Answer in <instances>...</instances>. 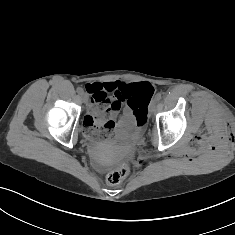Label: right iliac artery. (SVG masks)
<instances>
[{
	"mask_svg": "<svg viewBox=\"0 0 235 235\" xmlns=\"http://www.w3.org/2000/svg\"><path fill=\"white\" fill-rule=\"evenodd\" d=\"M84 91H83V89L81 88V87H78L77 88V93H79V94H82Z\"/></svg>",
	"mask_w": 235,
	"mask_h": 235,
	"instance_id": "82829eb1",
	"label": "right iliac artery"
}]
</instances>
